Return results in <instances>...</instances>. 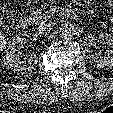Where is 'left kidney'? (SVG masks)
<instances>
[{"instance_id":"1","label":"left kidney","mask_w":113,"mask_h":113,"mask_svg":"<svg viewBox=\"0 0 113 113\" xmlns=\"http://www.w3.org/2000/svg\"><path fill=\"white\" fill-rule=\"evenodd\" d=\"M97 40L106 43L108 50H106V54L103 57L100 53H94L90 54L88 59L94 66L99 68L113 67V36L108 33H100Z\"/></svg>"}]
</instances>
